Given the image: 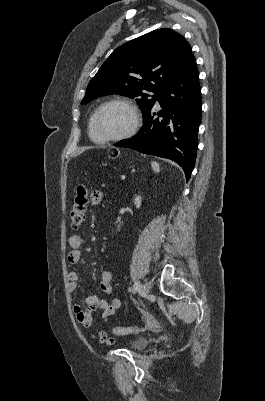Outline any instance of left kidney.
<instances>
[{"instance_id":"left-kidney-1","label":"left kidney","mask_w":265,"mask_h":401,"mask_svg":"<svg viewBox=\"0 0 265 401\" xmlns=\"http://www.w3.org/2000/svg\"><path fill=\"white\" fill-rule=\"evenodd\" d=\"M141 198L142 196H139V194L134 198V205H136V209H140L141 207Z\"/></svg>"}]
</instances>
